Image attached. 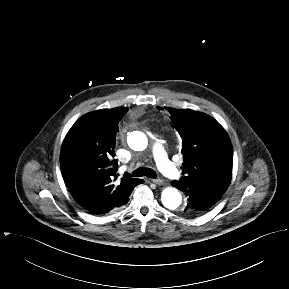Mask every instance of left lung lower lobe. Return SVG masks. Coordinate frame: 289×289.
<instances>
[{
    "mask_svg": "<svg viewBox=\"0 0 289 289\" xmlns=\"http://www.w3.org/2000/svg\"><path fill=\"white\" fill-rule=\"evenodd\" d=\"M171 184L184 192L188 198L187 205L180 211L186 216H195L204 213L221 197L210 191L188 188L177 181H172Z\"/></svg>",
    "mask_w": 289,
    "mask_h": 289,
    "instance_id": "obj_1",
    "label": "left lung lower lobe"
}]
</instances>
